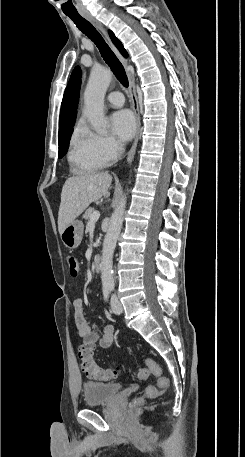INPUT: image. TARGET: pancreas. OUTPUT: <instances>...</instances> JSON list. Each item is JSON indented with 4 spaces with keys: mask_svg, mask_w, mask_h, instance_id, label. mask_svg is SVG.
<instances>
[{
    "mask_svg": "<svg viewBox=\"0 0 245 457\" xmlns=\"http://www.w3.org/2000/svg\"><path fill=\"white\" fill-rule=\"evenodd\" d=\"M93 210H94V208H92V206H89V208H86V210L83 214V218H86V220H89V222H90V216H91V214H93Z\"/></svg>",
    "mask_w": 245,
    "mask_h": 457,
    "instance_id": "1",
    "label": "pancreas"
}]
</instances>
